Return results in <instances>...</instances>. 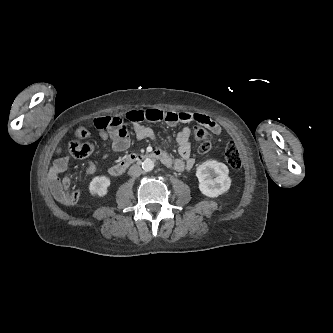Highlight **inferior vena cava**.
<instances>
[{
  "label": "inferior vena cava",
  "mask_w": 333,
  "mask_h": 333,
  "mask_svg": "<svg viewBox=\"0 0 333 333\" xmlns=\"http://www.w3.org/2000/svg\"><path fill=\"white\" fill-rule=\"evenodd\" d=\"M142 173V169L140 166L133 165L129 169V175L132 177H139Z\"/></svg>",
  "instance_id": "1"
}]
</instances>
